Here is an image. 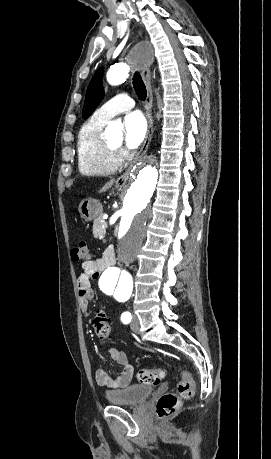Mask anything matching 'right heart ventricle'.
I'll return each mask as SVG.
<instances>
[{"label": "right heart ventricle", "mask_w": 271, "mask_h": 459, "mask_svg": "<svg viewBox=\"0 0 271 459\" xmlns=\"http://www.w3.org/2000/svg\"><path fill=\"white\" fill-rule=\"evenodd\" d=\"M105 123L92 116L78 131L76 161L77 169L83 176L107 175L119 167L117 155L112 154L104 144L102 129Z\"/></svg>", "instance_id": "e07e8e85"}]
</instances>
